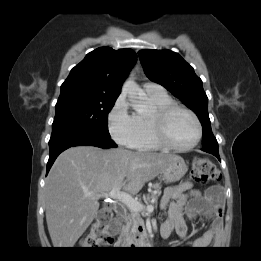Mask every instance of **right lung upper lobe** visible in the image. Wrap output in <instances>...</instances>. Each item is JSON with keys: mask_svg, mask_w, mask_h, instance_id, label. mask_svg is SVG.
I'll return each instance as SVG.
<instances>
[{"mask_svg": "<svg viewBox=\"0 0 261 261\" xmlns=\"http://www.w3.org/2000/svg\"><path fill=\"white\" fill-rule=\"evenodd\" d=\"M136 58L132 49L100 47L71 70L60 95L119 96Z\"/></svg>", "mask_w": 261, "mask_h": 261, "instance_id": "1", "label": "right lung upper lobe"}]
</instances>
